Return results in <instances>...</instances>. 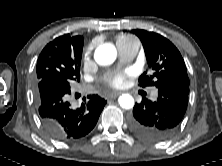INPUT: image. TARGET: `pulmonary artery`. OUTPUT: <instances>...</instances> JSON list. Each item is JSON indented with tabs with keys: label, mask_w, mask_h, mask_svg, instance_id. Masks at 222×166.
<instances>
[{
	"label": "pulmonary artery",
	"mask_w": 222,
	"mask_h": 166,
	"mask_svg": "<svg viewBox=\"0 0 222 166\" xmlns=\"http://www.w3.org/2000/svg\"><path fill=\"white\" fill-rule=\"evenodd\" d=\"M120 58L123 62H129L131 61L138 53V43H126V44H120L117 46ZM157 96V90L154 89L150 97L151 99H155Z\"/></svg>",
	"instance_id": "1"
}]
</instances>
